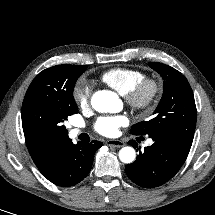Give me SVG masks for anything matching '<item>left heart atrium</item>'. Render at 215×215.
<instances>
[{"mask_svg":"<svg viewBox=\"0 0 215 215\" xmlns=\"http://www.w3.org/2000/svg\"><path fill=\"white\" fill-rule=\"evenodd\" d=\"M128 119L125 115L103 116L95 122V130L106 137L116 136L119 128L126 126Z\"/></svg>","mask_w":215,"mask_h":215,"instance_id":"left-heart-atrium-1","label":"left heart atrium"}]
</instances>
